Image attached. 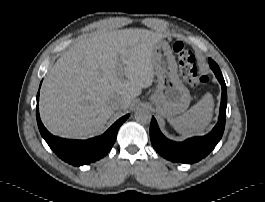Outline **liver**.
Segmentation results:
<instances>
[{
  "instance_id": "6515ba94",
  "label": "liver",
  "mask_w": 265,
  "mask_h": 202,
  "mask_svg": "<svg viewBox=\"0 0 265 202\" xmlns=\"http://www.w3.org/2000/svg\"><path fill=\"white\" fill-rule=\"evenodd\" d=\"M164 37L146 29L98 30L82 36L48 72L40 116L56 136L86 139L101 133L114 114V96L127 109L152 85L153 46ZM124 75L126 79L121 76Z\"/></svg>"
}]
</instances>
